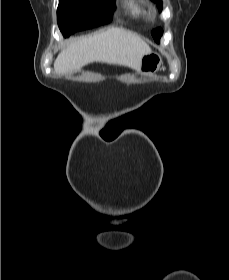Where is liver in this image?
<instances>
[{"instance_id":"1","label":"liver","mask_w":229,"mask_h":280,"mask_svg":"<svg viewBox=\"0 0 229 280\" xmlns=\"http://www.w3.org/2000/svg\"><path fill=\"white\" fill-rule=\"evenodd\" d=\"M151 52L137 33L112 27L70 41L56 58L54 71L59 75L78 72L93 62L122 65L139 71L142 57Z\"/></svg>"}]
</instances>
